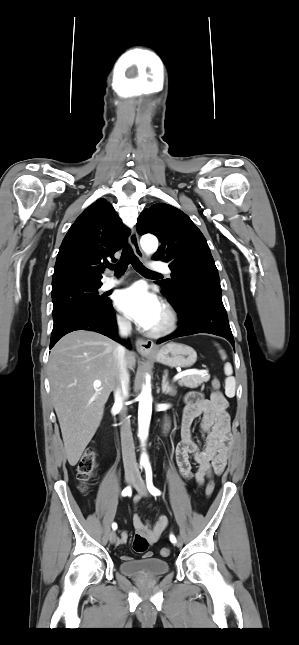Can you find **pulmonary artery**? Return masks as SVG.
I'll return each mask as SVG.
<instances>
[{"instance_id": "obj_1", "label": "pulmonary artery", "mask_w": 299, "mask_h": 645, "mask_svg": "<svg viewBox=\"0 0 299 645\" xmlns=\"http://www.w3.org/2000/svg\"><path fill=\"white\" fill-rule=\"evenodd\" d=\"M150 269L153 271H161L167 274L171 273V270L166 263L158 262V261L152 262L150 264ZM121 282H122L121 278L108 277L105 279L104 283L102 284V290L112 289L118 286Z\"/></svg>"}]
</instances>
